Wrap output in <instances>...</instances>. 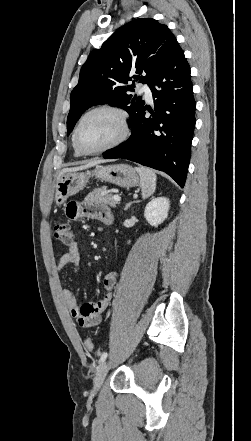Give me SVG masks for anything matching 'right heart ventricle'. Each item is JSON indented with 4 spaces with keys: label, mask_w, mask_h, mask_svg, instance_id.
Here are the masks:
<instances>
[{
    "label": "right heart ventricle",
    "mask_w": 251,
    "mask_h": 441,
    "mask_svg": "<svg viewBox=\"0 0 251 441\" xmlns=\"http://www.w3.org/2000/svg\"><path fill=\"white\" fill-rule=\"evenodd\" d=\"M72 145H73V149H74V154L77 157L82 156V154L76 149L75 145H74V141H73V137H72Z\"/></svg>",
    "instance_id": "obj_1"
}]
</instances>
